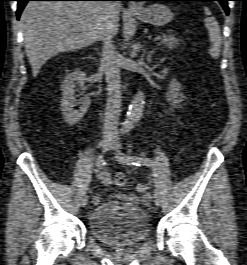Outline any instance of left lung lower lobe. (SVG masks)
Here are the masks:
<instances>
[{"mask_svg":"<svg viewBox=\"0 0 247 265\" xmlns=\"http://www.w3.org/2000/svg\"><path fill=\"white\" fill-rule=\"evenodd\" d=\"M135 1H178V0H135ZM193 1H218L224 8L226 14H229V7L227 5V2L230 0H193Z\"/></svg>","mask_w":247,"mask_h":265,"instance_id":"0a47b994","label":"left lung lower lobe"}]
</instances>
